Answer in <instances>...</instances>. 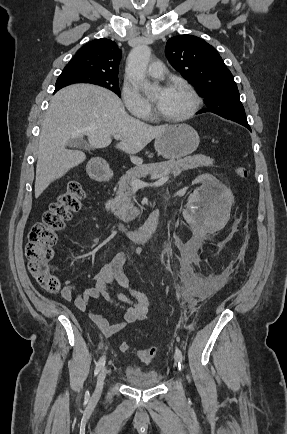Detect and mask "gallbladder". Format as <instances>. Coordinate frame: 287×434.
Listing matches in <instances>:
<instances>
[{"label":"gallbladder","instance_id":"gallbladder-1","mask_svg":"<svg viewBox=\"0 0 287 434\" xmlns=\"http://www.w3.org/2000/svg\"><path fill=\"white\" fill-rule=\"evenodd\" d=\"M70 147L76 148V149H88L90 146L80 138H75L69 142Z\"/></svg>","mask_w":287,"mask_h":434}]
</instances>
